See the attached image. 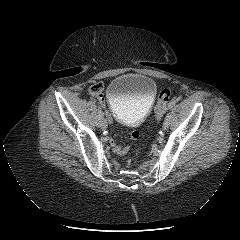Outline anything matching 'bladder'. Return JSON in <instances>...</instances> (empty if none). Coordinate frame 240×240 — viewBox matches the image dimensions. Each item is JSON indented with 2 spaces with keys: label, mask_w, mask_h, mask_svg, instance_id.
<instances>
[{
  "label": "bladder",
  "mask_w": 240,
  "mask_h": 240,
  "mask_svg": "<svg viewBox=\"0 0 240 240\" xmlns=\"http://www.w3.org/2000/svg\"><path fill=\"white\" fill-rule=\"evenodd\" d=\"M156 93L157 85L152 78L126 73L111 81L106 94L117 120L124 125L135 126L149 114Z\"/></svg>",
  "instance_id": "31cf9c89"
}]
</instances>
